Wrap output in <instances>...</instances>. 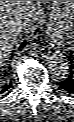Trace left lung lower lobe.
<instances>
[{
	"instance_id": "0a47b994",
	"label": "left lung lower lobe",
	"mask_w": 74,
	"mask_h": 122,
	"mask_svg": "<svg viewBox=\"0 0 74 122\" xmlns=\"http://www.w3.org/2000/svg\"><path fill=\"white\" fill-rule=\"evenodd\" d=\"M70 63L73 64L74 61H72L71 59H69ZM72 71H70L69 76L63 80L62 82L59 83V86L69 92V93H74V68H71Z\"/></svg>"
}]
</instances>
